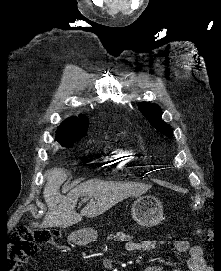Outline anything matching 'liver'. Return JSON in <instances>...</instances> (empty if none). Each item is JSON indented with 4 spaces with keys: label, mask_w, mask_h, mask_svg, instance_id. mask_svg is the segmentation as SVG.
Wrapping results in <instances>:
<instances>
[{
    "label": "liver",
    "mask_w": 221,
    "mask_h": 271,
    "mask_svg": "<svg viewBox=\"0 0 221 271\" xmlns=\"http://www.w3.org/2000/svg\"><path fill=\"white\" fill-rule=\"evenodd\" d=\"M44 175L46 183L43 197L48 211L40 223V227H69V225L82 221V217H97L125 197L144 191V187L131 185V183H109V181H101V179H88L69 191L67 195H62L60 187L67 179L65 169L53 167V169H48ZM80 195H88L90 199L80 213H77L75 205Z\"/></svg>",
    "instance_id": "obj_1"
}]
</instances>
